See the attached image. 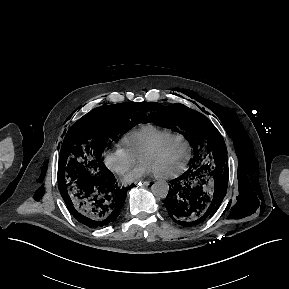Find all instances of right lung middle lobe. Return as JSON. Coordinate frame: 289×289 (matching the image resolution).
I'll return each mask as SVG.
<instances>
[{
  "label": "right lung middle lobe",
  "instance_id": "right-lung-middle-lobe-1",
  "mask_svg": "<svg viewBox=\"0 0 289 289\" xmlns=\"http://www.w3.org/2000/svg\"><path fill=\"white\" fill-rule=\"evenodd\" d=\"M140 106L138 102H127L98 107L70 128L61 146L58 161L60 192L69 190L89 175L107 170L102 158L107 140L139 123L135 115Z\"/></svg>",
  "mask_w": 289,
  "mask_h": 289
}]
</instances>
